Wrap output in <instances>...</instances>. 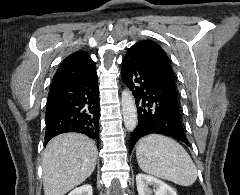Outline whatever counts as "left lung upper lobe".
<instances>
[{"label":"left lung upper lobe","mask_w":240,"mask_h":195,"mask_svg":"<svg viewBox=\"0 0 240 195\" xmlns=\"http://www.w3.org/2000/svg\"><path fill=\"white\" fill-rule=\"evenodd\" d=\"M127 57L142 63L163 78L175 85V74L165 51L154 41L146 40L136 43L129 48Z\"/></svg>","instance_id":"5c2ea615"}]
</instances>
